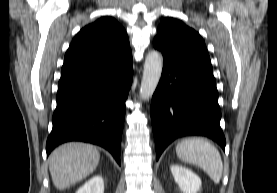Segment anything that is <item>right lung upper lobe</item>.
I'll return each mask as SVG.
<instances>
[{
  "instance_id": "1",
  "label": "right lung upper lobe",
  "mask_w": 277,
  "mask_h": 193,
  "mask_svg": "<svg viewBox=\"0 0 277 193\" xmlns=\"http://www.w3.org/2000/svg\"><path fill=\"white\" fill-rule=\"evenodd\" d=\"M131 55L126 31L112 17H101L73 38L64 58L61 79L107 68Z\"/></svg>"
}]
</instances>
